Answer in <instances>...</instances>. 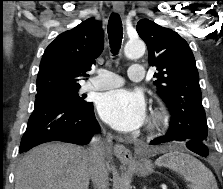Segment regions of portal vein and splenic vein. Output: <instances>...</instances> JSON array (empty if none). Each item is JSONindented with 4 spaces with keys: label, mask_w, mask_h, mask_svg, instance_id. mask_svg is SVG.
<instances>
[{
    "label": "portal vein and splenic vein",
    "mask_w": 223,
    "mask_h": 189,
    "mask_svg": "<svg viewBox=\"0 0 223 189\" xmlns=\"http://www.w3.org/2000/svg\"><path fill=\"white\" fill-rule=\"evenodd\" d=\"M163 189H167V187L165 185L162 186Z\"/></svg>",
    "instance_id": "portal-vein-and-splenic-vein-1"
}]
</instances>
